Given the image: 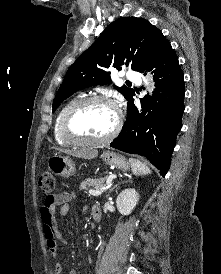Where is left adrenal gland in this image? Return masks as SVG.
I'll return each mask as SVG.
<instances>
[{
	"instance_id": "left-adrenal-gland-1",
	"label": "left adrenal gland",
	"mask_w": 221,
	"mask_h": 274,
	"mask_svg": "<svg viewBox=\"0 0 221 274\" xmlns=\"http://www.w3.org/2000/svg\"><path fill=\"white\" fill-rule=\"evenodd\" d=\"M130 182V181H129ZM124 183V182H122ZM121 183H118L116 185H114L110 190H109V193L112 192L115 188H117Z\"/></svg>"
}]
</instances>
